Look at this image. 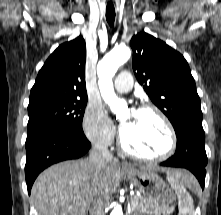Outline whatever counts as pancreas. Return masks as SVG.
Here are the masks:
<instances>
[{
  "label": "pancreas",
  "instance_id": "1",
  "mask_svg": "<svg viewBox=\"0 0 221 215\" xmlns=\"http://www.w3.org/2000/svg\"><path fill=\"white\" fill-rule=\"evenodd\" d=\"M131 206L133 211L137 214L146 213L150 215H167L168 212L162 208L157 207L143 196H133L131 198Z\"/></svg>",
  "mask_w": 221,
  "mask_h": 215
}]
</instances>
